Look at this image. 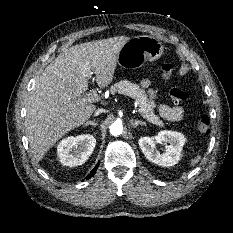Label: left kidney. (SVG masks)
I'll return each mask as SVG.
<instances>
[{
	"mask_svg": "<svg viewBox=\"0 0 233 233\" xmlns=\"http://www.w3.org/2000/svg\"><path fill=\"white\" fill-rule=\"evenodd\" d=\"M185 141L186 138L182 133L164 130L160 131L156 136L141 137L138 144L150 162L163 167H171L180 160ZM161 142L168 143L163 154L155 149L156 144Z\"/></svg>",
	"mask_w": 233,
	"mask_h": 233,
	"instance_id": "left-kidney-1",
	"label": "left kidney"
}]
</instances>
